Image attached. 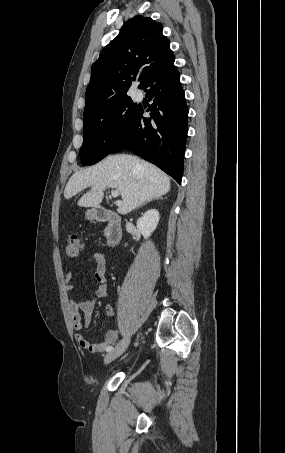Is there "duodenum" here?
<instances>
[{
	"mask_svg": "<svg viewBox=\"0 0 285 453\" xmlns=\"http://www.w3.org/2000/svg\"><path fill=\"white\" fill-rule=\"evenodd\" d=\"M97 221L106 223L105 242L108 247H115L122 237L121 220L117 214L105 208L99 207L94 212Z\"/></svg>",
	"mask_w": 285,
	"mask_h": 453,
	"instance_id": "1",
	"label": "duodenum"
}]
</instances>
